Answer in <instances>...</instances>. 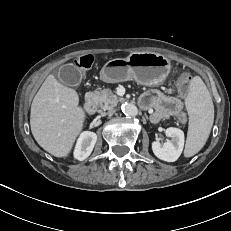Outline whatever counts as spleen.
<instances>
[{"label":"spleen","mask_w":231,"mask_h":231,"mask_svg":"<svg viewBox=\"0 0 231 231\" xmlns=\"http://www.w3.org/2000/svg\"><path fill=\"white\" fill-rule=\"evenodd\" d=\"M185 103L189 126L184 155L191 157L205 145L214 120V106L210 93L199 76L191 81Z\"/></svg>","instance_id":"spleen-1"}]
</instances>
